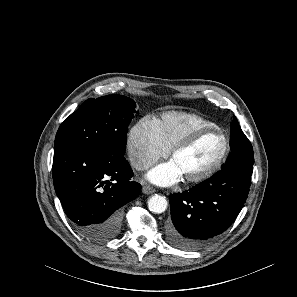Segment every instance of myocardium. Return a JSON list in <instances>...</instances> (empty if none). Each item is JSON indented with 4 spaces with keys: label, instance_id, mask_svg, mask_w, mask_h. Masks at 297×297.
<instances>
[{
    "label": "myocardium",
    "instance_id": "1",
    "mask_svg": "<svg viewBox=\"0 0 297 297\" xmlns=\"http://www.w3.org/2000/svg\"><path fill=\"white\" fill-rule=\"evenodd\" d=\"M207 133H217L221 137L223 141L222 152L219 158L216 160V162L212 166H210L207 170H205L204 172L196 176L184 178V182L186 184H198L208 180L219 171V169L223 166V164L227 159V156L229 153V140L226 134L217 126L201 127V128L194 129L193 131L188 133L185 137L179 140L170 149V153H169L170 158L173 159V157L176 154L190 147L200 136Z\"/></svg>",
    "mask_w": 297,
    "mask_h": 297
}]
</instances>
